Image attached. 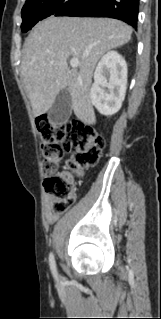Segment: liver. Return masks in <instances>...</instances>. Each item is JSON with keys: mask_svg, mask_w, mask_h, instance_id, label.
<instances>
[{"mask_svg": "<svg viewBox=\"0 0 161 319\" xmlns=\"http://www.w3.org/2000/svg\"><path fill=\"white\" fill-rule=\"evenodd\" d=\"M131 35L130 26L109 18L50 17L38 23L25 41L21 62L34 116L46 113L67 88L76 117L94 124L90 86L95 66L105 52L128 43ZM71 56L79 59L72 70L67 63Z\"/></svg>", "mask_w": 161, "mask_h": 319, "instance_id": "1", "label": "liver"}]
</instances>
